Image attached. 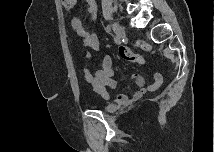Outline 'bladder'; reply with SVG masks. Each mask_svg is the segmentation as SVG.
<instances>
[{"label": "bladder", "instance_id": "31cf9c89", "mask_svg": "<svg viewBox=\"0 0 215 152\" xmlns=\"http://www.w3.org/2000/svg\"><path fill=\"white\" fill-rule=\"evenodd\" d=\"M113 108H114V107H113L112 105H108V106H104V107H103V110H104V111H111V110H113Z\"/></svg>", "mask_w": 215, "mask_h": 152}]
</instances>
